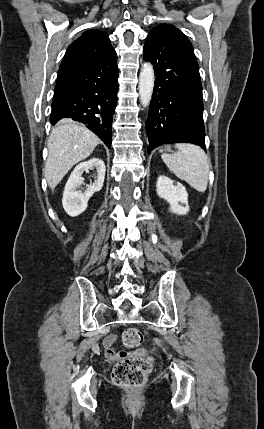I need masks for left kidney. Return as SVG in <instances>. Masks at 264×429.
<instances>
[{
  "instance_id": "left-kidney-1",
  "label": "left kidney",
  "mask_w": 264,
  "mask_h": 429,
  "mask_svg": "<svg viewBox=\"0 0 264 429\" xmlns=\"http://www.w3.org/2000/svg\"><path fill=\"white\" fill-rule=\"evenodd\" d=\"M159 197L170 204V211L178 215H186L189 212L188 193L186 188L179 182L174 185L173 181L166 176H159L156 185Z\"/></svg>"
}]
</instances>
